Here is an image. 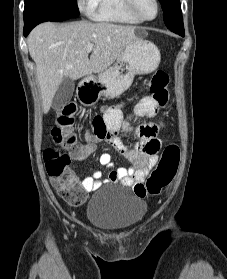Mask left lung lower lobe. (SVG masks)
Returning <instances> with one entry per match:
<instances>
[{
	"mask_svg": "<svg viewBox=\"0 0 227 279\" xmlns=\"http://www.w3.org/2000/svg\"><path fill=\"white\" fill-rule=\"evenodd\" d=\"M172 32H174L182 37H184V35H185L184 31H172Z\"/></svg>",
	"mask_w": 227,
	"mask_h": 279,
	"instance_id": "1",
	"label": "left lung lower lobe"
}]
</instances>
